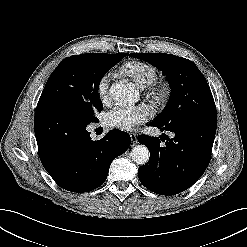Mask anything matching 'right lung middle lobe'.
<instances>
[{"mask_svg":"<svg viewBox=\"0 0 247 247\" xmlns=\"http://www.w3.org/2000/svg\"><path fill=\"white\" fill-rule=\"evenodd\" d=\"M119 60L92 54L67 57L49 77L37 107H51L84 123L96 122L102 110L98 96L101 79Z\"/></svg>","mask_w":247,"mask_h":247,"instance_id":"right-lung-middle-lobe-1","label":"right lung middle lobe"}]
</instances>
